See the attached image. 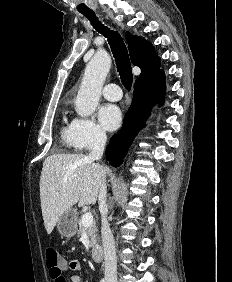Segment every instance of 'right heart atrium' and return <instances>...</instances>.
Wrapping results in <instances>:
<instances>
[{"label":"right heart atrium","instance_id":"obj_1","mask_svg":"<svg viewBox=\"0 0 232 282\" xmlns=\"http://www.w3.org/2000/svg\"><path fill=\"white\" fill-rule=\"evenodd\" d=\"M71 133L78 150H89L102 145L106 139L104 130L91 118H75Z\"/></svg>","mask_w":232,"mask_h":282}]
</instances>
